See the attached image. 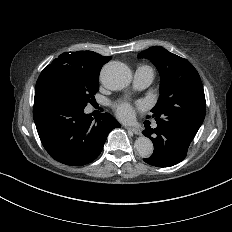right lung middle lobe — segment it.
Returning a JSON list of instances; mask_svg holds the SVG:
<instances>
[{
  "instance_id": "right-lung-middle-lobe-1",
  "label": "right lung middle lobe",
  "mask_w": 232,
  "mask_h": 232,
  "mask_svg": "<svg viewBox=\"0 0 232 232\" xmlns=\"http://www.w3.org/2000/svg\"><path fill=\"white\" fill-rule=\"evenodd\" d=\"M99 73L78 66L65 65L56 59L40 74L36 88L47 87L80 107L95 102L99 90Z\"/></svg>"
}]
</instances>
